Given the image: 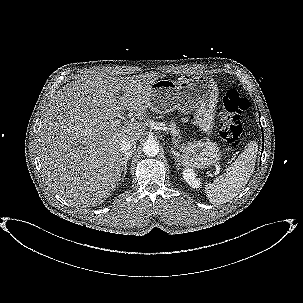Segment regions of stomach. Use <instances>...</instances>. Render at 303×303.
<instances>
[{
	"mask_svg": "<svg viewBox=\"0 0 303 303\" xmlns=\"http://www.w3.org/2000/svg\"><path fill=\"white\" fill-rule=\"evenodd\" d=\"M218 97V88L210 77L199 76L180 78L177 81L159 79L151 84V109L159 113L178 110L184 114L195 111L194 125L203 133L210 135L214 127V114ZM179 165L196 169H205L221 159L219 146L207 139L181 146Z\"/></svg>",
	"mask_w": 303,
	"mask_h": 303,
	"instance_id": "1",
	"label": "stomach"
}]
</instances>
